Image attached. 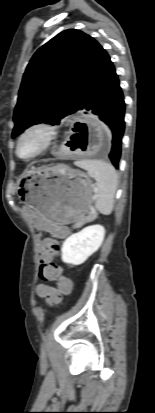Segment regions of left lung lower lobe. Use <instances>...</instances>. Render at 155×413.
<instances>
[{
	"mask_svg": "<svg viewBox=\"0 0 155 413\" xmlns=\"http://www.w3.org/2000/svg\"><path fill=\"white\" fill-rule=\"evenodd\" d=\"M79 110H83L85 114L97 115L111 129L113 139L109 158L118 169L125 129V103L118 76L109 56L85 94Z\"/></svg>",
	"mask_w": 155,
	"mask_h": 413,
	"instance_id": "1",
	"label": "left lung lower lobe"
}]
</instances>
